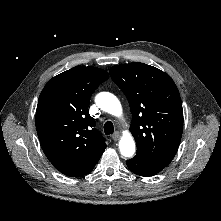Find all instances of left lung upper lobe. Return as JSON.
Masks as SVG:
<instances>
[{"label":"left lung upper lobe","instance_id":"left-lung-upper-lobe-1","mask_svg":"<svg viewBox=\"0 0 221 221\" xmlns=\"http://www.w3.org/2000/svg\"><path fill=\"white\" fill-rule=\"evenodd\" d=\"M109 72L130 104V131L137 144L136 156L170 164L183 132L182 102L172 78L139 62L115 65Z\"/></svg>","mask_w":221,"mask_h":221}]
</instances>
